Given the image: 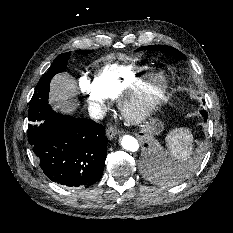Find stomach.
Returning a JSON list of instances; mask_svg holds the SVG:
<instances>
[{
    "instance_id": "obj_1",
    "label": "stomach",
    "mask_w": 233,
    "mask_h": 233,
    "mask_svg": "<svg viewBox=\"0 0 233 233\" xmlns=\"http://www.w3.org/2000/svg\"><path fill=\"white\" fill-rule=\"evenodd\" d=\"M163 130V123L157 118H151L145 125L144 131L149 135H157Z\"/></svg>"
}]
</instances>
